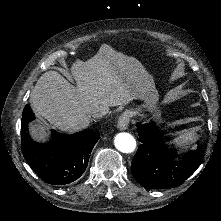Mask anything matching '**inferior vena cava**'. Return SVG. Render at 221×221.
<instances>
[{
  "mask_svg": "<svg viewBox=\"0 0 221 221\" xmlns=\"http://www.w3.org/2000/svg\"><path fill=\"white\" fill-rule=\"evenodd\" d=\"M109 113V107L105 106V105H99L97 107L94 108L93 112H92V119H100L104 116H106Z\"/></svg>",
  "mask_w": 221,
  "mask_h": 221,
  "instance_id": "1",
  "label": "inferior vena cava"
}]
</instances>
